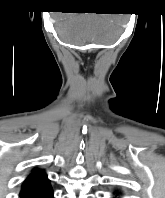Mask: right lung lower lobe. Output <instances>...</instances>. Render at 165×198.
<instances>
[{"mask_svg":"<svg viewBox=\"0 0 165 198\" xmlns=\"http://www.w3.org/2000/svg\"><path fill=\"white\" fill-rule=\"evenodd\" d=\"M23 198H53V190L51 186H49Z\"/></svg>","mask_w":165,"mask_h":198,"instance_id":"right-lung-lower-lobe-1","label":"right lung lower lobe"}]
</instances>
